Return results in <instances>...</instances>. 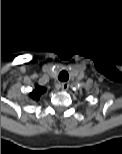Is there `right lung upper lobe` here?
<instances>
[{
  "mask_svg": "<svg viewBox=\"0 0 122 154\" xmlns=\"http://www.w3.org/2000/svg\"><path fill=\"white\" fill-rule=\"evenodd\" d=\"M45 91H46V88L36 85V88L30 93V97L33 100L38 101L40 96L44 94Z\"/></svg>",
  "mask_w": 122,
  "mask_h": 154,
  "instance_id": "obj_1",
  "label": "right lung upper lobe"
}]
</instances>
